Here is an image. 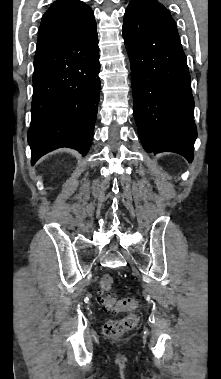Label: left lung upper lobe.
<instances>
[{"label": "left lung upper lobe", "instance_id": "1", "mask_svg": "<svg viewBox=\"0 0 221 379\" xmlns=\"http://www.w3.org/2000/svg\"><path fill=\"white\" fill-rule=\"evenodd\" d=\"M132 1H137L140 2L148 7H150L153 10H156L157 12L164 14L168 17H171L169 11L162 5L160 4L157 0H132Z\"/></svg>", "mask_w": 221, "mask_h": 379}]
</instances>
